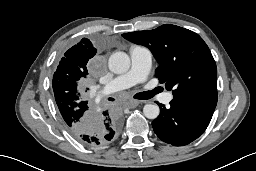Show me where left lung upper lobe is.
Returning <instances> with one entry per match:
<instances>
[{"instance_id": "5c2ea615", "label": "left lung upper lobe", "mask_w": 256, "mask_h": 171, "mask_svg": "<svg viewBox=\"0 0 256 171\" xmlns=\"http://www.w3.org/2000/svg\"><path fill=\"white\" fill-rule=\"evenodd\" d=\"M122 36L150 49L159 64L155 76L166 84L167 90H172L174 99L215 110L217 68L208 46L198 34L165 24Z\"/></svg>"}]
</instances>
